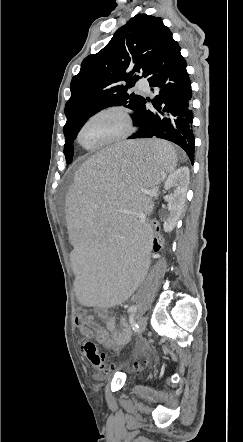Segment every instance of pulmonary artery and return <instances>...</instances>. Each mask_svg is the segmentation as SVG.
<instances>
[{"label":"pulmonary artery","mask_w":243,"mask_h":442,"mask_svg":"<svg viewBox=\"0 0 243 442\" xmlns=\"http://www.w3.org/2000/svg\"><path fill=\"white\" fill-rule=\"evenodd\" d=\"M137 90L141 93H149L150 87L147 81H138Z\"/></svg>","instance_id":"obj_1"}]
</instances>
